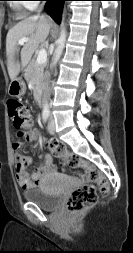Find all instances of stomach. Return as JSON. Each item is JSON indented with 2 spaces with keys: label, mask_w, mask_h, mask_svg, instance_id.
<instances>
[{
  "label": "stomach",
  "mask_w": 133,
  "mask_h": 253,
  "mask_svg": "<svg viewBox=\"0 0 133 253\" xmlns=\"http://www.w3.org/2000/svg\"><path fill=\"white\" fill-rule=\"evenodd\" d=\"M26 85L22 78H16L11 81L8 89V93L13 97H21L25 94Z\"/></svg>",
  "instance_id": "1"
}]
</instances>
